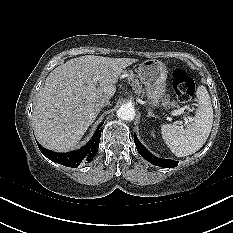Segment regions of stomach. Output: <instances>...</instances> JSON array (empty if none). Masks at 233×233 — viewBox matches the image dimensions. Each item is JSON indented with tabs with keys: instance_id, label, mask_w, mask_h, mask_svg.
<instances>
[{
	"instance_id": "0dacf381",
	"label": "stomach",
	"mask_w": 233,
	"mask_h": 233,
	"mask_svg": "<svg viewBox=\"0 0 233 233\" xmlns=\"http://www.w3.org/2000/svg\"><path fill=\"white\" fill-rule=\"evenodd\" d=\"M167 68L159 60H145L139 65L138 75L145 85L148 104L151 107L163 105L166 93Z\"/></svg>"
}]
</instances>
